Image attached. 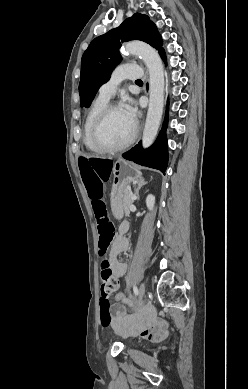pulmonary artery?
<instances>
[{"label": "pulmonary artery", "instance_id": "pulmonary-artery-1", "mask_svg": "<svg viewBox=\"0 0 248 389\" xmlns=\"http://www.w3.org/2000/svg\"><path fill=\"white\" fill-rule=\"evenodd\" d=\"M141 77V68L132 63H124L116 67L110 80L104 83L99 89V96L104 99H111L118 85L126 79L137 80Z\"/></svg>", "mask_w": 248, "mask_h": 389}]
</instances>
